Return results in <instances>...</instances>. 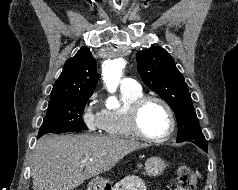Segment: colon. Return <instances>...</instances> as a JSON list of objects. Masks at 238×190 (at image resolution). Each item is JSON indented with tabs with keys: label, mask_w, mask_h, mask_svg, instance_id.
Returning <instances> with one entry per match:
<instances>
[{
	"label": "colon",
	"mask_w": 238,
	"mask_h": 190,
	"mask_svg": "<svg viewBox=\"0 0 238 190\" xmlns=\"http://www.w3.org/2000/svg\"><path fill=\"white\" fill-rule=\"evenodd\" d=\"M196 175L188 165H181L177 170V179L174 190H195Z\"/></svg>",
	"instance_id": "1"
}]
</instances>
